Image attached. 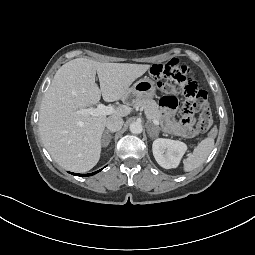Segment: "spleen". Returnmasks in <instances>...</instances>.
Here are the masks:
<instances>
[{
    "instance_id": "3e777b00",
    "label": "spleen",
    "mask_w": 255,
    "mask_h": 255,
    "mask_svg": "<svg viewBox=\"0 0 255 255\" xmlns=\"http://www.w3.org/2000/svg\"><path fill=\"white\" fill-rule=\"evenodd\" d=\"M214 148V138L207 137L200 141L193 152L188 154L183 160V169L185 172H191L202 165L212 149Z\"/></svg>"
}]
</instances>
